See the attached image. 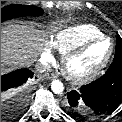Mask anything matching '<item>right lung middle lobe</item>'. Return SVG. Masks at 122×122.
<instances>
[{"mask_svg":"<svg viewBox=\"0 0 122 122\" xmlns=\"http://www.w3.org/2000/svg\"><path fill=\"white\" fill-rule=\"evenodd\" d=\"M43 14V9L29 5H8L1 9V22L15 17L39 16Z\"/></svg>","mask_w":122,"mask_h":122,"instance_id":"1","label":"right lung middle lobe"}]
</instances>
